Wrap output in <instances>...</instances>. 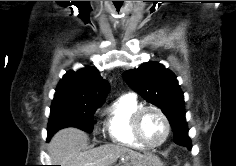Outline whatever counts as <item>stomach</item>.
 <instances>
[{"label":"stomach","instance_id":"0dacf381","mask_svg":"<svg viewBox=\"0 0 236 166\" xmlns=\"http://www.w3.org/2000/svg\"><path fill=\"white\" fill-rule=\"evenodd\" d=\"M143 161L144 162L141 166H163V163L155 155H146ZM123 166H134V165H131L130 162L127 160L124 162Z\"/></svg>","mask_w":236,"mask_h":166}]
</instances>
